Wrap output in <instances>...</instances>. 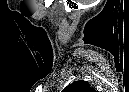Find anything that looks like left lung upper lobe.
<instances>
[{
  "label": "left lung upper lobe",
  "mask_w": 129,
  "mask_h": 92,
  "mask_svg": "<svg viewBox=\"0 0 129 92\" xmlns=\"http://www.w3.org/2000/svg\"><path fill=\"white\" fill-rule=\"evenodd\" d=\"M86 81H75L72 84L66 86L63 92H94Z\"/></svg>",
  "instance_id": "5c2ea615"
}]
</instances>
